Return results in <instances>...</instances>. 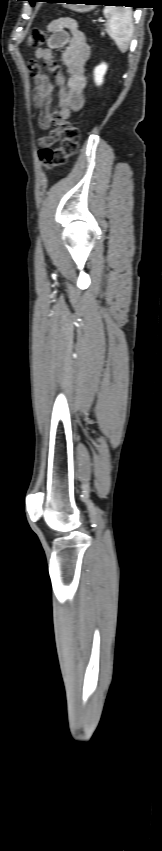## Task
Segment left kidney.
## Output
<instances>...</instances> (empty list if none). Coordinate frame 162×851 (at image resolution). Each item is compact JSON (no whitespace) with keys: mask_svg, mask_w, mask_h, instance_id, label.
I'll list each match as a JSON object with an SVG mask.
<instances>
[{"mask_svg":"<svg viewBox=\"0 0 162 851\" xmlns=\"http://www.w3.org/2000/svg\"><path fill=\"white\" fill-rule=\"evenodd\" d=\"M107 71V65L105 63H101L94 69V81L96 85H101L103 83L104 75Z\"/></svg>","mask_w":162,"mask_h":851,"instance_id":"1","label":"left kidney"}]
</instances>
